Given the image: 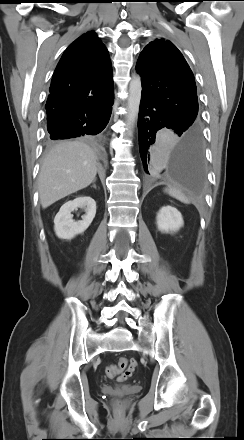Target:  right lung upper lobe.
<instances>
[{
    "instance_id": "1",
    "label": "right lung upper lobe",
    "mask_w": 244,
    "mask_h": 440,
    "mask_svg": "<svg viewBox=\"0 0 244 440\" xmlns=\"http://www.w3.org/2000/svg\"><path fill=\"white\" fill-rule=\"evenodd\" d=\"M112 96L108 51L93 31L87 32L66 49L54 71L47 116L91 111Z\"/></svg>"
}]
</instances>
